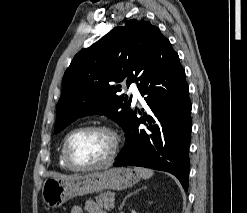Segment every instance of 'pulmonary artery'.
Instances as JSON below:
<instances>
[{
    "mask_svg": "<svg viewBox=\"0 0 247 213\" xmlns=\"http://www.w3.org/2000/svg\"><path fill=\"white\" fill-rule=\"evenodd\" d=\"M129 92L133 94L134 99H140V93L138 91V88L135 84H131L129 87Z\"/></svg>",
    "mask_w": 247,
    "mask_h": 213,
    "instance_id": "pulmonary-artery-1",
    "label": "pulmonary artery"
}]
</instances>
